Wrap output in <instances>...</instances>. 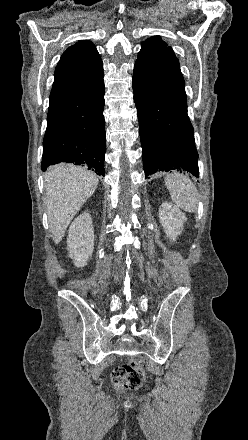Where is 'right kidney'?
<instances>
[{
  "mask_svg": "<svg viewBox=\"0 0 248 440\" xmlns=\"http://www.w3.org/2000/svg\"><path fill=\"white\" fill-rule=\"evenodd\" d=\"M67 250L75 266L87 265L94 250V227L89 213H82L70 225Z\"/></svg>",
  "mask_w": 248,
  "mask_h": 440,
  "instance_id": "ca27d5eb",
  "label": "right kidney"
}]
</instances>
